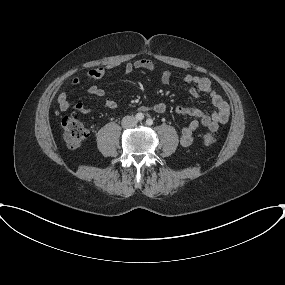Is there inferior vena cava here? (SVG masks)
Returning a JSON list of instances; mask_svg holds the SVG:
<instances>
[{
	"label": "inferior vena cava",
	"instance_id": "602c4592",
	"mask_svg": "<svg viewBox=\"0 0 285 285\" xmlns=\"http://www.w3.org/2000/svg\"><path fill=\"white\" fill-rule=\"evenodd\" d=\"M136 124V119L133 116H126L122 120V125L124 127H133Z\"/></svg>",
	"mask_w": 285,
	"mask_h": 285
}]
</instances>
